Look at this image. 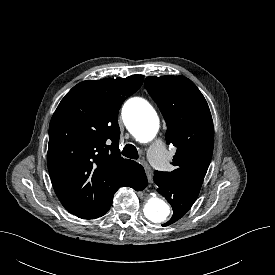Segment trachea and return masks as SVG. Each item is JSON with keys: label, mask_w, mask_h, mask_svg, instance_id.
I'll return each mask as SVG.
<instances>
[{"label": "trachea", "mask_w": 275, "mask_h": 275, "mask_svg": "<svg viewBox=\"0 0 275 275\" xmlns=\"http://www.w3.org/2000/svg\"><path fill=\"white\" fill-rule=\"evenodd\" d=\"M122 155L126 156L128 158H131V159L139 158L138 151H137L136 147L132 144L125 145V147L122 150Z\"/></svg>", "instance_id": "3493384b"}]
</instances>
